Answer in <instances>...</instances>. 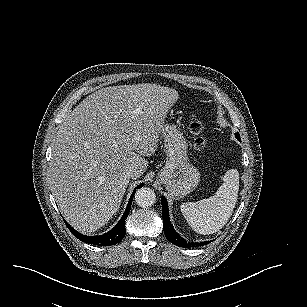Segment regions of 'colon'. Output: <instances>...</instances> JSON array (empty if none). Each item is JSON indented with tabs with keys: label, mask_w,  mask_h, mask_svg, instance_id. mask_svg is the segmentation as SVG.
<instances>
[{
	"label": "colon",
	"mask_w": 307,
	"mask_h": 307,
	"mask_svg": "<svg viewBox=\"0 0 307 307\" xmlns=\"http://www.w3.org/2000/svg\"><path fill=\"white\" fill-rule=\"evenodd\" d=\"M190 130L194 135V146L197 150H203L208 145V138L205 135V124L199 119H193Z\"/></svg>",
	"instance_id": "colon-1"
}]
</instances>
